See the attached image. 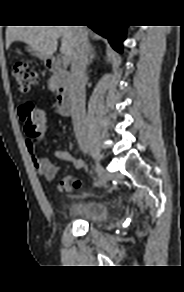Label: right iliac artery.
Instances as JSON below:
<instances>
[{"mask_svg": "<svg viewBox=\"0 0 184 292\" xmlns=\"http://www.w3.org/2000/svg\"><path fill=\"white\" fill-rule=\"evenodd\" d=\"M97 182H100V179L93 180V182L91 183V186L93 187L94 185L97 184Z\"/></svg>", "mask_w": 184, "mask_h": 292, "instance_id": "82829eb1", "label": "right iliac artery"}]
</instances>
